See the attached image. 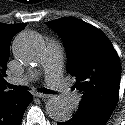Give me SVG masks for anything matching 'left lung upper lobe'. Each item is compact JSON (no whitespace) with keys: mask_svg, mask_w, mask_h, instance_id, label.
Returning <instances> with one entry per match:
<instances>
[{"mask_svg":"<svg viewBox=\"0 0 125 125\" xmlns=\"http://www.w3.org/2000/svg\"><path fill=\"white\" fill-rule=\"evenodd\" d=\"M62 37L67 50V71L76 78L73 89L82 93L80 106L112 114L119 97L121 64L107 36L73 17L46 23Z\"/></svg>","mask_w":125,"mask_h":125,"instance_id":"obj_1","label":"left lung upper lobe"}]
</instances>
